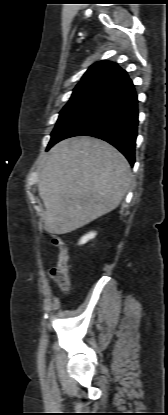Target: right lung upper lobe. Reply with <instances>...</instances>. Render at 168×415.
<instances>
[{"mask_svg": "<svg viewBox=\"0 0 168 415\" xmlns=\"http://www.w3.org/2000/svg\"><path fill=\"white\" fill-rule=\"evenodd\" d=\"M126 76V71L116 63L99 61L89 67L73 93L95 92L100 94Z\"/></svg>", "mask_w": 168, "mask_h": 415, "instance_id": "cb5924a9", "label": "right lung upper lobe"}]
</instances>
